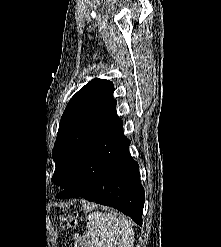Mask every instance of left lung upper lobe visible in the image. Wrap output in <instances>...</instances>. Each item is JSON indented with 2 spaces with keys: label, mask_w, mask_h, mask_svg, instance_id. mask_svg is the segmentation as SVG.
I'll return each instance as SVG.
<instances>
[{
  "label": "left lung upper lobe",
  "mask_w": 221,
  "mask_h": 247,
  "mask_svg": "<svg viewBox=\"0 0 221 247\" xmlns=\"http://www.w3.org/2000/svg\"><path fill=\"white\" fill-rule=\"evenodd\" d=\"M109 80L94 79L69 101L61 117L53 149L56 169L52 182L65 189L82 170L102 133L120 121Z\"/></svg>",
  "instance_id": "left-lung-upper-lobe-1"
}]
</instances>
